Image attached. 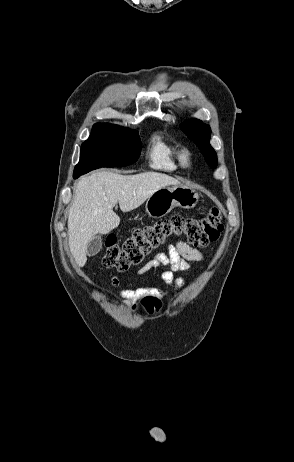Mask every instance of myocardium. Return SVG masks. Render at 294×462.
Here are the masks:
<instances>
[{
	"instance_id": "f54148a6",
	"label": "myocardium",
	"mask_w": 294,
	"mask_h": 462,
	"mask_svg": "<svg viewBox=\"0 0 294 462\" xmlns=\"http://www.w3.org/2000/svg\"><path fill=\"white\" fill-rule=\"evenodd\" d=\"M192 161V153L188 149H183L181 151V163L183 166L188 167L190 166Z\"/></svg>"
}]
</instances>
